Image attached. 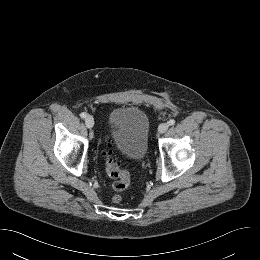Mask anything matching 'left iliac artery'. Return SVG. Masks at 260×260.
Returning <instances> with one entry per match:
<instances>
[{
	"mask_svg": "<svg viewBox=\"0 0 260 260\" xmlns=\"http://www.w3.org/2000/svg\"><path fill=\"white\" fill-rule=\"evenodd\" d=\"M169 125H174L175 124V120L174 119H171V120H169Z\"/></svg>",
	"mask_w": 260,
	"mask_h": 260,
	"instance_id": "44dca946",
	"label": "left iliac artery"
}]
</instances>
